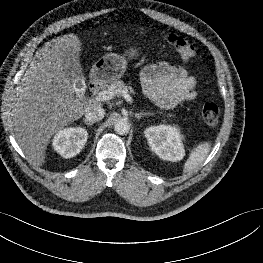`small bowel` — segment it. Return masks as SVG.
Segmentation results:
<instances>
[{
  "label": "small bowel",
  "instance_id": "1",
  "mask_svg": "<svg viewBox=\"0 0 263 263\" xmlns=\"http://www.w3.org/2000/svg\"><path fill=\"white\" fill-rule=\"evenodd\" d=\"M141 81L146 96L163 108H173L196 97L195 78L180 66L150 64L142 70Z\"/></svg>",
  "mask_w": 263,
  "mask_h": 263
}]
</instances>
